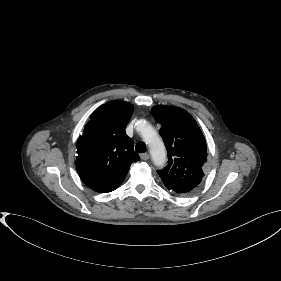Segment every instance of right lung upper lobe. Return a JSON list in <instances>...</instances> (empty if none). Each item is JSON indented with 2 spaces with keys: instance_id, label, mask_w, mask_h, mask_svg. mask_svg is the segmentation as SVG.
Here are the masks:
<instances>
[{
  "instance_id": "right-lung-upper-lobe-1",
  "label": "right lung upper lobe",
  "mask_w": 281,
  "mask_h": 281,
  "mask_svg": "<svg viewBox=\"0 0 281 281\" xmlns=\"http://www.w3.org/2000/svg\"><path fill=\"white\" fill-rule=\"evenodd\" d=\"M132 113V104L110 101L98 107L85 125L77 141L76 166L81 180L92 190H115L130 165L140 159L125 132Z\"/></svg>"
}]
</instances>
